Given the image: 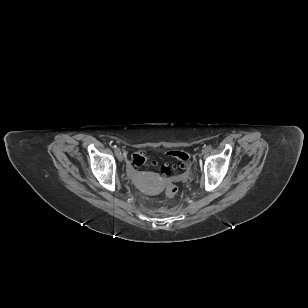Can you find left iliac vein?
Returning <instances> with one entry per match:
<instances>
[{
  "label": "left iliac vein",
  "instance_id": "obj_1",
  "mask_svg": "<svg viewBox=\"0 0 308 308\" xmlns=\"http://www.w3.org/2000/svg\"><path fill=\"white\" fill-rule=\"evenodd\" d=\"M208 151L206 150V149H203L202 150V154H205V153H207Z\"/></svg>",
  "mask_w": 308,
  "mask_h": 308
}]
</instances>
